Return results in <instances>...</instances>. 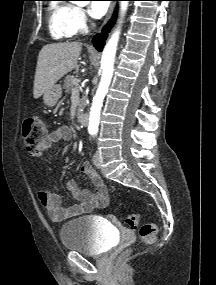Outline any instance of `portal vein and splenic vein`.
I'll return each instance as SVG.
<instances>
[{"mask_svg":"<svg viewBox=\"0 0 216 285\" xmlns=\"http://www.w3.org/2000/svg\"><path fill=\"white\" fill-rule=\"evenodd\" d=\"M73 82H74V85H75V88L73 90H78V86H79L78 82L79 81L75 79Z\"/></svg>","mask_w":216,"mask_h":285,"instance_id":"obj_1","label":"portal vein and splenic vein"}]
</instances>
